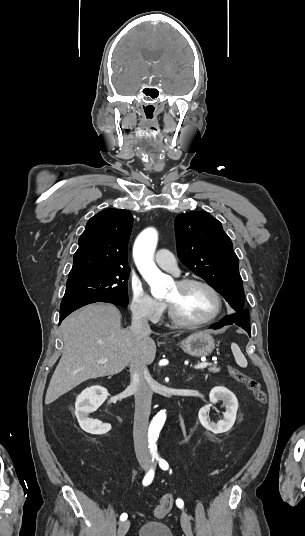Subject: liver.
<instances>
[{"mask_svg":"<svg viewBox=\"0 0 305 536\" xmlns=\"http://www.w3.org/2000/svg\"><path fill=\"white\" fill-rule=\"evenodd\" d=\"M63 356L51 378L45 404L90 378L114 376L126 366H146L155 360V342L132 330H121L119 310L112 304H89L61 324ZM180 336V334H177ZM99 360H108L98 364Z\"/></svg>","mask_w":305,"mask_h":536,"instance_id":"liver-1","label":"liver"}]
</instances>
